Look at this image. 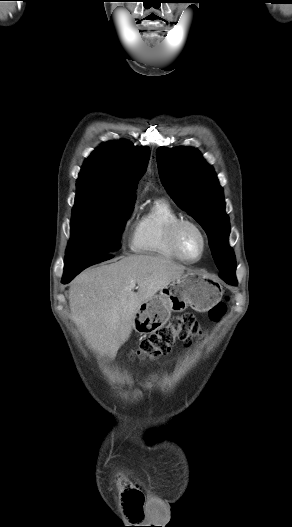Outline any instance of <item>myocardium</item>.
I'll use <instances>...</instances> for the list:
<instances>
[{
    "label": "myocardium",
    "instance_id": "obj_1",
    "mask_svg": "<svg viewBox=\"0 0 292 527\" xmlns=\"http://www.w3.org/2000/svg\"><path fill=\"white\" fill-rule=\"evenodd\" d=\"M187 225L192 226L193 228H195L199 232V234L201 235V238H202V250H201V253H200L199 257L196 258V259L187 258L182 253L180 245H179V233H180L181 229L184 226H187ZM169 243H170V246H171L173 252L176 254V256L178 257L179 260H181L183 262H186V263L193 264V263H197V262H199V261H201L203 259V257L206 254V251L208 249L209 241H208V236H207L205 230L203 229V227L198 222H196L195 220L189 219V218H180V219L176 220L172 224V226L170 228V231H169Z\"/></svg>",
    "mask_w": 292,
    "mask_h": 527
}]
</instances>
